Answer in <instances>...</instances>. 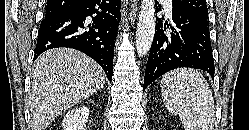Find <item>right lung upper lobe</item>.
<instances>
[{"label":"right lung upper lobe","instance_id":"right-lung-upper-lobe-1","mask_svg":"<svg viewBox=\"0 0 249 130\" xmlns=\"http://www.w3.org/2000/svg\"><path fill=\"white\" fill-rule=\"evenodd\" d=\"M82 0H47L46 14L57 15L74 8Z\"/></svg>","mask_w":249,"mask_h":130}]
</instances>
